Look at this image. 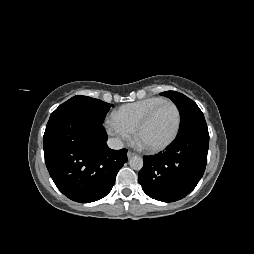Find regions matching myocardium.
<instances>
[{"label": "myocardium", "instance_id": "1", "mask_svg": "<svg viewBox=\"0 0 254 254\" xmlns=\"http://www.w3.org/2000/svg\"><path fill=\"white\" fill-rule=\"evenodd\" d=\"M166 104L172 105L176 110V114H177L176 126H175L173 134L164 143H162L158 146H154V147H149V146L143 145V147L150 153H158L160 151H163L164 149L169 147L176 140V138L179 134V131H180V127H181V111H180L179 106L172 100H164V101L160 102L159 104H157L154 108H152L144 116V118L138 123V125L135 128V136L139 140V135H140L141 131L143 130V128L152 120V118L155 116V114L158 112V110Z\"/></svg>", "mask_w": 254, "mask_h": 254}]
</instances>
